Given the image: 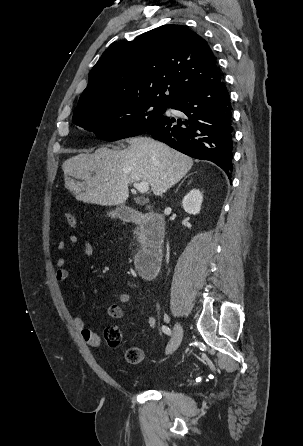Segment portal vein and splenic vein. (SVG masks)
I'll use <instances>...</instances> for the list:
<instances>
[{"label": "portal vein and splenic vein", "instance_id": "18ae733b", "mask_svg": "<svg viewBox=\"0 0 303 446\" xmlns=\"http://www.w3.org/2000/svg\"><path fill=\"white\" fill-rule=\"evenodd\" d=\"M133 186L141 193L144 194L149 190V183L146 181H141L134 183Z\"/></svg>", "mask_w": 303, "mask_h": 446}]
</instances>
